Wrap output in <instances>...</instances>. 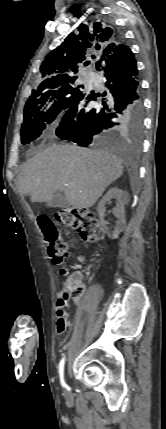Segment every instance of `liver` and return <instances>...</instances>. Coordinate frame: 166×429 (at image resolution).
<instances>
[{"mask_svg":"<svg viewBox=\"0 0 166 429\" xmlns=\"http://www.w3.org/2000/svg\"><path fill=\"white\" fill-rule=\"evenodd\" d=\"M123 169L121 160L108 151L53 144L26 162L18 190L32 202L49 201L62 191L73 207L89 208Z\"/></svg>","mask_w":166,"mask_h":429,"instance_id":"6515ba94","label":"liver"}]
</instances>
